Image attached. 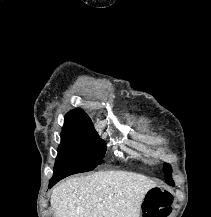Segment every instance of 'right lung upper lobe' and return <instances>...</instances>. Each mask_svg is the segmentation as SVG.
<instances>
[{"mask_svg": "<svg viewBox=\"0 0 211 217\" xmlns=\"http://www.w3.org/2000/svg\"><path fill=\"white\" fill-rule=\"evenodd\" d=\"M64 127H93V124L82 109H74L66 115Z\"/></svg>", "mask_w": 211, "mask_h": 217, "instance_id": "obj_1", "label": "right lung upper lobe"}]
</instances>
